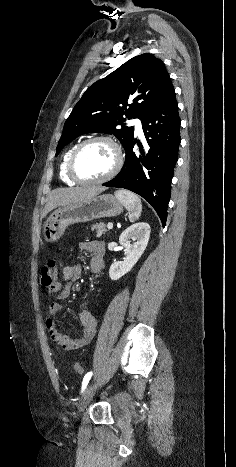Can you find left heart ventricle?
I'll use <instances>...</instances> for the list:
<instances>
[{"label":"left heart ventricle","instance_id":"left-heart-ventricle-1","mask_svg":"<svg viewBox=\"0 0 236 467\" xmlns=\"http://www.w3.org/2000/svg\"><path fill=\"white\" fill-rule=\"evenodd\" d=\"M115 153L107 142H95L86 146L76 160V171L84 180L105 176L113 167Z\"/></svg>","mask_w":236,"mask_h":467}]
</instances>
